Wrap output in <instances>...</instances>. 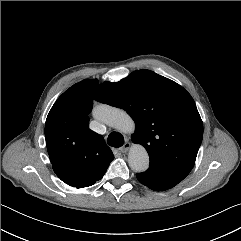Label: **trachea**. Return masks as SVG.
Listing matches in <instances>:
<instances>
[{"mask_svg": "<svg viewBox=\"0 0 241 241\" xmlns=\"http://www.w3.org/2000/svg\"><path fill=\"white\" fill-rule=\"evenodd\" d=\"M108 144L112 147H121L124 144V138L118 132H111L108 136Z\"/></svg>", "mask_w": 241, "mask_h": 241, "instance_id": "trachea-1", "label": "trachea"}]
</instances>
